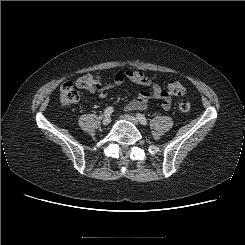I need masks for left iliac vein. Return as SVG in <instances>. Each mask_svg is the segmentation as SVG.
Masks as SVG:
<instances>
[{"label":"left iliac vein","instance_id":"obj_1","mask_svg":"<svg viewBox=\"0 0 245 245\" xmlns=\"http://www.w3.org/2000/svg\"><path fill=\"white\" fill-rule=\"evenodd\" d=\"M123 118L128 120L129 122L133 123L134 125H138L139 124V121L132 115L124 114Z\"/></svg>","mask_w":245,"mask_h":245}]
</instances>
